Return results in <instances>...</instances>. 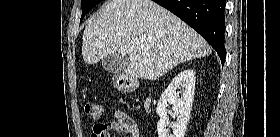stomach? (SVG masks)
I'll use <instances>...</instances> for the list:
<instances>
[{"label":"stomach","instance_id":"obj_1","mask_svg":"<svg viewBox=\"0 0 280 137\" xmlns=\"http://www.w3.org/2000/svg\"><path fill=\"white\" fill-rule=\"evenodd\" d=\"M123 81H120L119 83H116V87L119 89H127L128 85L125 83H122Z\"/></svg>","mask_w":280,"mask_h":137}]
</instances>
